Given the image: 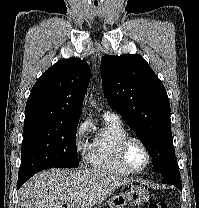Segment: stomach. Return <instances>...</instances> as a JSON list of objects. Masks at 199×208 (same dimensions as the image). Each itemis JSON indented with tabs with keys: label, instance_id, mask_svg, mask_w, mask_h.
<instances>
[{
	"label": "stomach",
	"instance_id": "0dacf381",
	"mask_svg": "<svg viewBox=\"0 0 199 208\" xmlns=\"http://www.w3.org/2000/svg\"><path fill=\"white\" fill-rule=\"evenodd\" d=\"M148 199L149 192L145 187L133 185L127 192H121L111 197L107 204L110 208H126L128 205H143Z\"/></svg>",
	"mask_w": 199,
	"mask_h": 208
}]
</instances>
